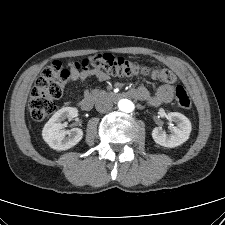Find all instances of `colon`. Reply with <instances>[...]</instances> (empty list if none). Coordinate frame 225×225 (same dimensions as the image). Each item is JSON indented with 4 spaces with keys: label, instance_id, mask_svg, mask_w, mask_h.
<instances>
[{
    "label": "colon",
    "instance_id": "obj_1",
    "mask_svg": "<svg viewBox=\"0 0 225 225\" xmlns=\"http://www.w3.org/2000/svg\"><path fill=\"white\" fill-rule=\"evenodd\" d=\"M73 65L78 68L92 66L114 76L144 75L165 83L176 81L175 74L167 68L142 66L110 53H97ZM69 80L70 72L60 62H53L42 71L29 100V110L34 120L42 121L55 111V101L61 97ZM174 92L177 104L183 109H189L191 99L184 87L177 85Z\"/></svg>",
    "mask_w": 225,
    "mask_h": 225
}]
</instances>
